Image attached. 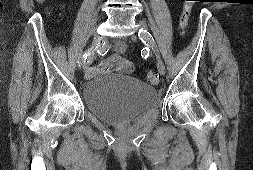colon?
<instances>
[{
    "mask_svg": "<svg viewBox=\"0 0 253 170\" xmlns=\"http://www.w3.org/2000/svg\"><path fill=\"white\" fill-rule=\"evenodd\" d=\"M38 1H42V0H38ZM192 1L194 0H186V2L184 3L182 14L180 17V23H179L181 33H184L188 26L190 15L193 9ZM117 63H121V68H117L116 66ZM99 69L102 71L116 69L122 72H131L133 70V65L128 63L126 60H124L121 57H111L110 59L102 62L99 66ZM146 80L149 83L156 84L159 81L157 72L155 71L147 72Z\"/></svg>",
    "mask_w": 253,
    "mask_h": 170,
    "instance_id": "5ec220e1",
    "label": "colon"
}]
</instances>
